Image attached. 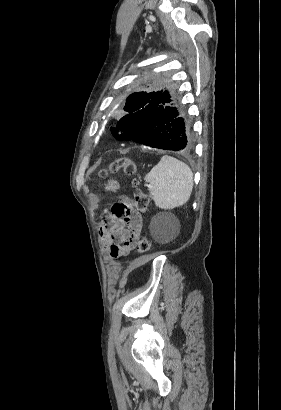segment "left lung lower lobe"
I'll return each instance as SVG.
<instances>
[{
    "mask_svg": "<svg viewBox=\"0 0 281 410\" xmlns=\"http://www.w3.org/2000/svg\"><path fill=\"white\" fill-rule=\"evenodd\" d=\"M116 129L118 140H132L153 148L182 152L193 148L190 123L166 88L156 92L142 109L122 117Z\"/></svg>",
    "mask_w": 281,
    "mask_h": 410,
    "instance_id": "left-lung-lower-lobe-1",
    "label": "left lung lower lobe"
}]
</instances>
